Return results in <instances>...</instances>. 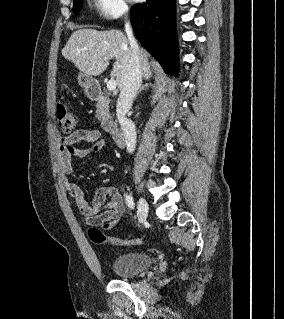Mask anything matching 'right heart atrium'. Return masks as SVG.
<instances>
[{
    "instance_id": "d8ad5b80",
    "label": "right heart atrium",
    "mask_w": 284,
    "mask_h": 319,
    "mask_svg": "<svg viewBox=\"0 0 284 319\" xmlns=\"http://www.w3.org/2000/svg\"><path fill=\"white\" fill-rule=\"evenodd\" d=\"M96 14L105 21L122 18L128 13L126 0H91Z\"/></svg>"
}]
</instances>
